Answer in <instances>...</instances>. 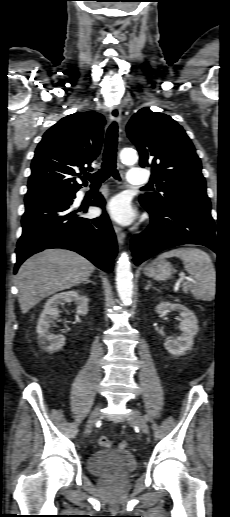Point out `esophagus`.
Wrapping results in <instances>:
<instances>
[{
    "label": "esophagus",
    "mask_w": 230,
    "mask_h": 517,
    "mask_svg": "<svg viewBox=\"0 0 230 517\" xmlns=\"http://www.w3.org/2000/svg\"><path fill=\"white\" fill-rule=\"evenodd\" d=\"M109 116H110V120L112 122L120 123V121H121V109H120V107L119 106L112 107L110 109ZM114 231H115L118 243L122 245L124 243V239H125V236H126L125 232L117 225H114Z\"/></svg>",
    "instance_id": "1"
}]
</instances>
